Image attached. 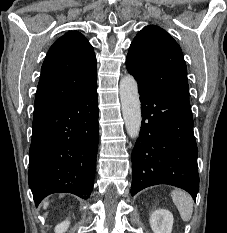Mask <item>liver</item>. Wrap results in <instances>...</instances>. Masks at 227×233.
<instances>
[{"instance_id": "6515ba94", "label": "liver", "mask_w": 227, "mask_h": 233, "mask_svg": "<svg viewBox=\"0 0 227 233\" xmlns=\"http://www.w3.org/2000/svg\"><path fill=\"white\" fill-rule=\"evenodd\" d=\"M47 206H48V203H45V204H44V208H46Z\"/></svg>"}]
</instances>
